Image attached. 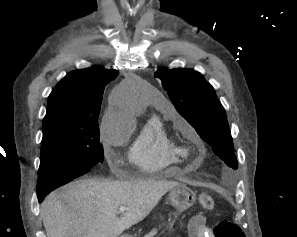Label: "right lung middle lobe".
Masks as SVG:
<instances>
[{"mask_svg":"<svg viewBox=\"0 0 297 237\" xmlns=\"http://www.w3.org/2000/svg\"><path fill=\"white\" fill-rule=\"evenodd\" d=\"M43 127L37 189L53 190L103 161L97 120H58Z\"/></svg>","mask_w":297,"mask_h":237,"instance_id":"1","label":"right lung middle lobe"}]
</instances>
